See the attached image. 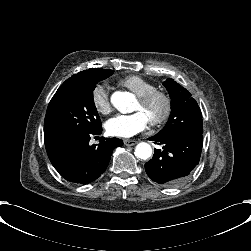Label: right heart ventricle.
I'll return each mask as SVG.
<instances>
[{
    "instance_id": "obj_1",
    "label": "right heart ventricle",
    "mask_w": 251,
    "mask_h": 251,
    "mask_svg": "<svg viewBox=\"0 0 251 251\" xmlns=\"http://www.w3.org/2000/svg\"><path fill=\"white\" fill-rule=\"evenodd\" d=\"M121 84L137 95H142L156 89V86L151 81L143 76L135 74L124 77L121 80Z\"/></svg>"
}]
</instances>
